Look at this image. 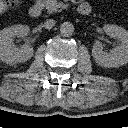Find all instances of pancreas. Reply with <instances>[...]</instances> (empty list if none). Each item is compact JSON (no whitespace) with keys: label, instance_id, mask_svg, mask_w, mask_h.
<instances>
[{"label":"pancreas","instance_id":"cf45deb5","mask_svg":"<svg viewBox=\"0 0 128 128\" xmlns=\"http://www.w3.org/2000/svg\"><path fill=\"white\" fill-rule=\"evenodd\" d=\"M43 3L48 13L60 12L62 9L67 7V5L62 2H58L57 0H43Z\"/></svg>","mask_w":128,"mask_h":128}]
</instances>
